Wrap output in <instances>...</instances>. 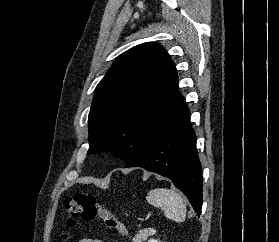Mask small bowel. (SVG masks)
Masks as SVG:
<instances>
[{
	"instance_id": "c3829d8e",
	"label": "small bowel",
	"mask_w": 279,
	"mask_h": 242,
	"mask_svg": "<svg viewBox=\"0 0 279 242\" xmlns=\"http://www.w3.org/2000/svg\"><path fill=\"white\" fill-rule=\"evenodd\" d=\"M79 242H104L100 239H91V238H84V239H81Z\"/></svg>"
}]
</instances>
